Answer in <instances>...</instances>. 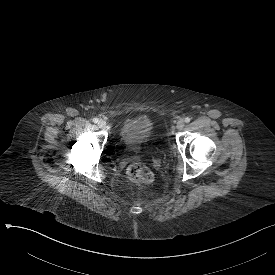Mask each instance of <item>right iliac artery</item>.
<instances>
[{"mask_svg": "<svg viewBox=\"0 0 275 275\" xmlns=\"http://www.w3.org/2000/svg\"><path fill=\"white\" fill-rule=\"evenodd\" d=\"M98 121H99L98 118H93L94 123H98Z\"/></svg>", "mask_w": 275, "mask_h": 275, "instance_id": "obj_1", "label": "right iliac artery"}]
</instances>
